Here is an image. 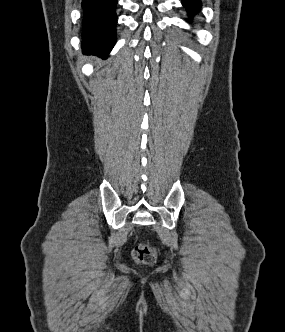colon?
<instances>
[{
  "label": "colon",
  "mask_w": 285,
  "mask_h": 332,
  "mask_svg": "<svg viewBox=\"0 0 285 332\" xmlns=\"http://www.w3.org/2000/svg\"><path fill=\"white\" fill-rule=\"evenodd\" d=\"M132 258L139 264L152 265L156 260V253L148 244H137L132 249Z\"/></svg>",
  "instance_id": "obj_1"
}]
</instances>
